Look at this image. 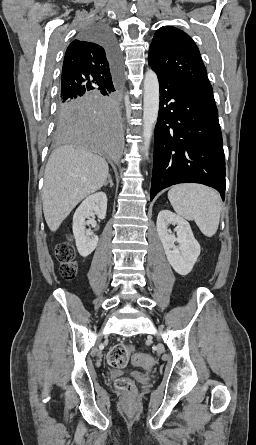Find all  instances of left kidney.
<instances>
[{"mask_svg": "<svg viewBox=\"0 0 256 445\" xmlns=\"http://www.w3.org/2000/svg\"><path fill=\"white\" fill-rule=\"evenodd\" d=\"M170 224L176 225L177 236L169 230ZM156 226L170 265L180 275L190 273L200 255V245L194 238L190 224L173 212L162 210L158 214ZM175 242L179 245L176 246Z\"/></svg>", "mask_w": 256, "mask_h": 445, "instance_id": "1", "label": "left kidney"}]
</instances>
